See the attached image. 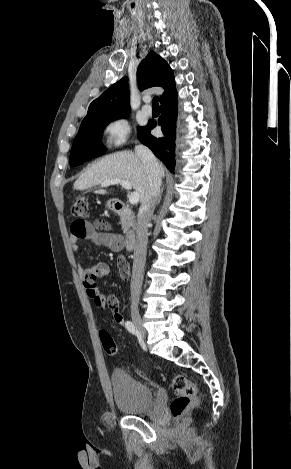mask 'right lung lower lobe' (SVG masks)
Returning a JSON list of instances; mask_svg holds the SVG:
<instances>
[{"label": "right lung lower lobe", "mask_w": 291, "mask_h": 469, "mask_svg": "<svg viewBox=\"0 0 291 469\" xmlns=\"http://www.w3.org/2000/svg\"><path fill=\"white\" fill-rule=\"evenodd\" d=\"M161 103V116L156 121H149L148 125L138 129L140 142L149 147L152 152L163 161L170 172L175 168V131L177 119V94L176 92L164 99ZM159 124L163 137L156 138L151 135V130Z\"/></svg>", "instance_id": "obj_1"}]
</instances>
